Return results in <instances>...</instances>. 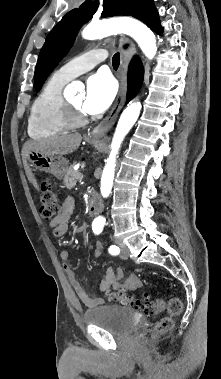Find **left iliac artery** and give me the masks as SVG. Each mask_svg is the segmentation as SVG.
<instances>
[{
    "instance_id": "obj_1",
    "label": "left iliac artery",
    "mask_w": 221,
    "mask_h": 379,
    "mask_svg": "<svg viewBox=\"0 0 221 379\" xmlns=\"http://www.w3.org/2000/svg\"><path fill=\"white\" fill-rule=\"evenodd\" d=\"M93 231L95 234H100L102 232V228L101 227H94L93 228ZM108 251L111 255H118L120 253V249L119 247L115 246V245H111L109 248H108Z\"/></svg>"
}]
</instances>
